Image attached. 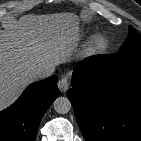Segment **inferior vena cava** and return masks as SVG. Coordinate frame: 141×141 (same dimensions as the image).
I'll return each instance as SVG.
<instances>
[{
  "label": "inferior vena cava",
  "mask_w": 141,
  "mask_h": 141,
  "mask_svg": "<svg viewBox=\"0 0 141 141\" xmlns=\"http://www.w3.org/2000/svg\"><path fill=\"white\" fill-rule=\"evenodd\" d=\"M53 73V69L49 66H41L34 71V76L39 79H45L50 77Z\"/></svg>",
  "instance_id": "inferior-vena-cava-1"
}]
</instances>
